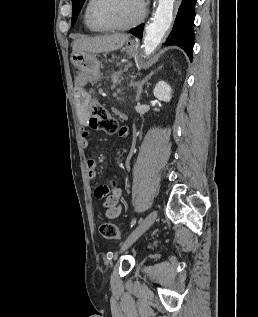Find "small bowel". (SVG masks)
Listing matches in <instances>:
<instances>
[{
	"label": "small bowel",
	"instance_id": "small-bowel-1",
	"mask_svg": "<svg viewBox=\"0 0 258 317\" xmlns=\"http://www.w3.org/2000/svg\"><path fill=\"white\" fill-rule=\"evenodd\" d=\"M120 136H126V127H121L119 131ZM81 145L83 148L89 146V133L83 130L80 135ZM86 171L90 179L96 176V162L93 159H88L86 162ZM94 195L97 199H104L102 207L105 209V215L108 219H114L121 213V198L122 189L118 187L114 180H110L106 184L96 187Z\"/></svg>",
	"mask_w": 258,
	"mask_h": 317
}]
</instances>
